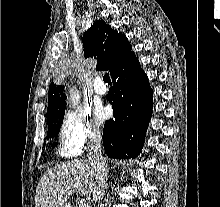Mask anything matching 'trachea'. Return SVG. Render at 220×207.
I'll use <instances>...</instances> for the list:
<instances>
[{"mask_svg": "<svg viewBox=\"0 0 220 207\" xmlns=\"http://www.w3.org/2000/svg\"><path fill=\"white\" fill-rule=\"evenodd\" d=\"M103 80H104V82H106V83H108V84L111 83V79H110L109 74H105V75L103 76Z\"/></svg>", "mask_w": 220, "mask_h": 207, "instance_id": "1", "label": "trachea"}]
</instances>
